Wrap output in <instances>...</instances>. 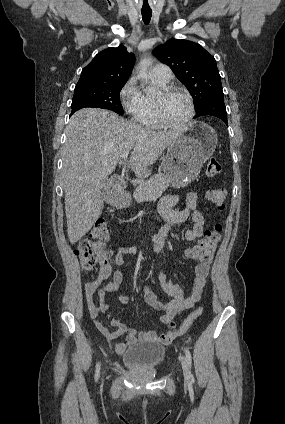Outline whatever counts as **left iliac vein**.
<instances>
[{"instance_id": "left-iliac-vein-1", "label": "left iliac vein", "mask_w": 285, "mask_h": 424, "mask_svg": "<svg viewBox=\"0 0 285 424\" xmlns=\"http://www.w3.org/2000/svg\"><path fill=\"white\" fill-rule=\"evenodd\" d=\"M181 364H182L184 380L188 384L190 382L189 372H188V364H187V360L184 356H181Z\"/></svg>"}]
</instances>
